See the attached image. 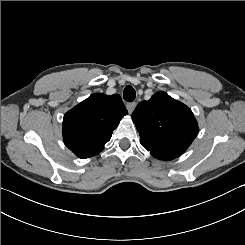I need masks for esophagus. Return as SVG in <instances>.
<instances>
[{
	"label": "esophagus",
	"instance_id": "34e87169",
	"mask_svg": "<svg viewBox=\"0 0 245 245\" xmlns=\"http://www.w3.org/2000/svg\"><path fill=\"white\" fill-rule=\"evenodd\" d=\"M135 106L136 104L134 102L127 103L126 107H127L129 114H131L134 111Z\"/></svg>",
	"mask_w": 245,
	"mask_h": 245
}]
</instances>
